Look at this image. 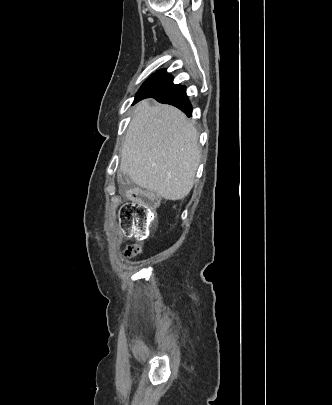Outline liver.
<instances>
[{"label": "liver", "mask_w": 332, "mask_h": 405, "mask_svg": "<svg viewBox=\"0 0 332 405\" xmlns=\"http://www.w3.org/2000/svg\"><path fill=\"white\" fill-rule=\"evenodd\" d=\"M200 162L198 134L179 109L138 103L122 147L120 170L165 200L191 191Z\"/></svg>", "instance_id": "obj_1"}]
</instances>
